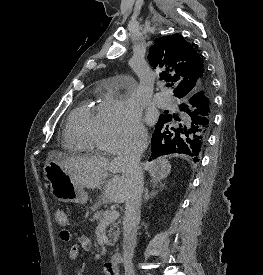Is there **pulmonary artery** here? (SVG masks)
<instances>
[{"label": "pulmonary artery", "instance_id": "pulmonary-artery-1", "mask_svg": "<svg viewBox=\"0 0 263 275\" xmlns=\"http://www.w3.org/2000/svg\"><path fill=\"white\" fill-rule=\"evenodd\" d=\"M154 101L161 108H174L176 105L173 98L164 92L157 93L154 96Z\"/></svg>", "mask_w": 263, "mask_h": 275}]
</instances>
